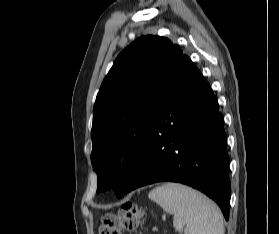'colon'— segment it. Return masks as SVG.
Masks as SVG:
<instances>
[{
    "mask_svg": "<svg viewBox=\"0 0 279 234\" xmlns=\"http://www.w3.org/2000/svg\"><path fill=\"white\" fill-rule=\"evenodd\" d=\"M142 213L133 202H126L117 213H105L102 216L99 234H122L137 228Z\"/></svg>",
    "mask_w": 279,
    "mask_h": 234,
    "instance_id": "obj_1",
    "label": "colon"
}]
</instances>
